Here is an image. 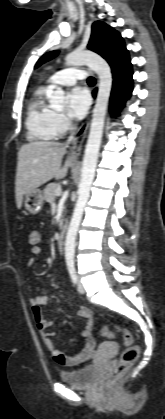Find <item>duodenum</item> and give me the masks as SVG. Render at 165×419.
Instances as JSON below:
<instances>
[{"label": "duodenum", "instance_id": "1", "mask_svg": "<svg viewBox=\"0 0 165 419\" xmlns=\"http://www.w3.org/2000/svg\"><path fill=\"white\" fill-rule=\"evenodd\" d=\"M66 241V231L62 230L57 239V247L59 251H63Z\"/></svg>", "mask_w": 165, "mask_h": 419}]
</instances>
